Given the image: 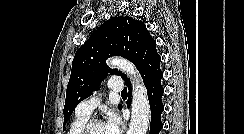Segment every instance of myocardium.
<instances>
[{"instance_id":"f54148a6","label":"myocardium","mask_w":244,"mask_h":134,"mask_svg":"<svg viewBox=\"0 0 244 134\" xmlns=\"http://www.w3.org/2000/svg\"><path fill=\"white\" fill-rule=\"evenodd\" d=\"M104 124L102 120L94 118L89 119L79 130L78 134H90L93 127L96 125Z\"/></svg>"}]
</instances>
